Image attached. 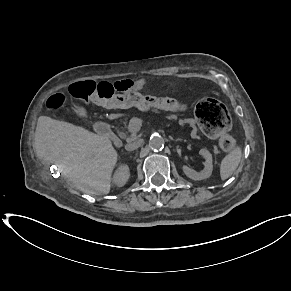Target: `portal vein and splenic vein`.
<instances>
[{
    "instance_id": "18ae733b",
    "label": "portal vein and splenic vein",
    "mask_w": 291,
    "mask_h": 291,
    "mask_svg": "<svg viewBox=\"0 0 291 291\" xmlns=\"http://www.w3.org/2000/svg\"><path fill=\"white\" fill-rule=\"evenodd\" d=\"M142 125V120L139 118H133L131 120L130 126H129V130L133 133L137 132L140 130V127Z\"/></svg>"
}]
</instances>
